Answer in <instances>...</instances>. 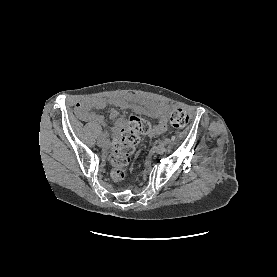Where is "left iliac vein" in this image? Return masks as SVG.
I'll list each match as a JSON object with an SVG mask.
<instances>
[{
    "mask_svg": "<svg viewBox=\"0 0 277 277\" xmlns=\"http://www.w3.org/2000/svg\"><path fill=\"white\" fill-rule=\"evenodd\" d=\"M155 152L157 154H163L165 152V146L163 144H159L155 147Z\"/></svg>",
    "mask_w": 277,
    "mask_h": 277,
    "instance_id": "left-iliac-vein-1",
    "label": "left iliac vein"
}]
</instances>
